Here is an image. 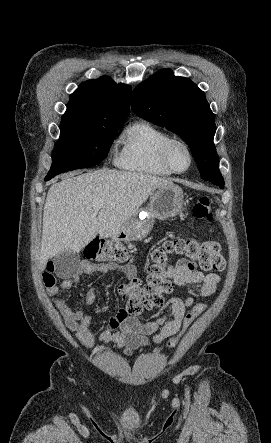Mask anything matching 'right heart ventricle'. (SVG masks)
Instances as JSON below:
<instances>
[{
  "instance_id": "obj_1",
  "label": "right heart ventricle",
  "mask_w": 271,
  "mask_h": 443,
  "mask_svg": "<svg viewBox=\"0 0 271 443\" xmlns=\"http://www.w3.org/2000/svg\"><path fill=\"white\" fill-rule=\"evenodd\" d=\"M169 137V133L149 120L135 121L121 135L116 164L123 169L155 176L173 175L161 158V147Z\"/></svg>"
}]
</instances>
